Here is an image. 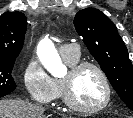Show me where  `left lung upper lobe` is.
Listing matches in <instances>:
<instances>
[{
	"label": "left lung upper lobe",
	"mask_w": 133,
	"mask_h": 118,
	"mask_svg": "<svg viewBox=\"0 0 133 118\" xmlns=\"http://www.w3.org/2000/svg\"><path fill=\"white\" fill-rule=\"evenodd\" d=\"M74 25L119 97L133 110V68L114 23L98 9L86 8L76 14Z\"/></svg>",
	"instance_id": "left-lung-upper-lobe-1"
}]
</instances>
